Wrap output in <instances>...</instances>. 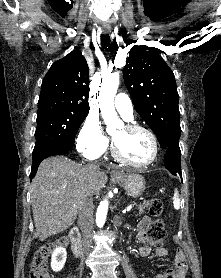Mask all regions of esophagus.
I'll return each mask as SVG.
<instances>
[{
    "label": "esophagus",
    "mask_w": 221,
    "mask_h": 278,
    "mask_svg": "<svg viewBox=\"0 0 221 278\" xmlns=\"http://www.w3.org/2000/svg\"><path fill=\"white\" fill-rule=\"evenodd\" d=\"M103 32H104V33H109L110 30L104 29ZM119 174H120V173H119L118 171H116V170H112V171H111V175H119Z\"/></svg>",
    "instance_id": "esophagus-1"
}]
</instances>
